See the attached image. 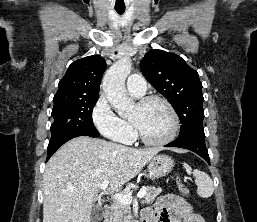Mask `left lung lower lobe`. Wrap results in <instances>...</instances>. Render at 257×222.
<instances>
[{
  "mask_svg": "<svg viewBox=\"0 0 257 222\" xmlns=\"http://www.w3.org/2000/svg\"><path fill=\"white\" fill-rule=\"evenodd\" d=\"M166 147H179L191 150L201 156L210 165V158L205 145L204 138H188L183 140H174L171 143L165 145Z\"/></svg>",
  "mask_w": 257,
  "mask_h": 222,
  "instance_id": "0a47b994",
  "label": "left lung lower lobe"
}]
</instances>
